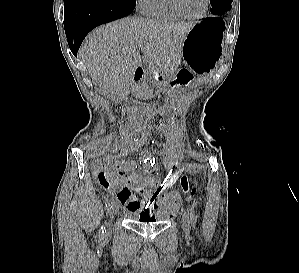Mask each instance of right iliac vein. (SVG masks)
Listing matches in <instances>:
<instances>
[{"label":"right iliac vein","instance_id":"63e3f726","mask_svg":"<svg viewBox=\"0 0 299 273\" xmlns=\"http://www.w3.org/2000/svg\"><path fill=\"white\" fill-rule=\"evenodd\" d=\"M118 212V206L113 203L112 206L110 207V211H109V215L111 220L114 218V216L117 214Z\"/></svg>","mask_w":299,"mask_h":273}]
</instances>
